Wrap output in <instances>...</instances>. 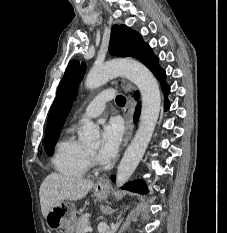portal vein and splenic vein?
<instances>
[{
    "instance_id": "1",
    "label": "portal vein and splenic vein",
    "mask_w": 227,
    "mask_h": 233,
    "mask_svg": "<svg viewBox=\"0 0 227 233\" xmlns=\"http://www.w3.org/2000/svg\"><path fill=\"white\" fill-rule=\"evenodd\" d=\"M88 231H92V228L89 226L85 228V232H88Z\"/></svg>"
}]
</instances>
